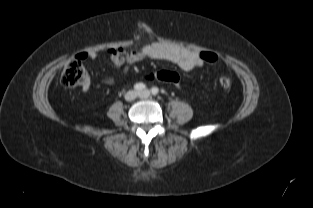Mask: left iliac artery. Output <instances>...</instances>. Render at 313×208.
Segmentation results:
<instances>
[{"label":"left iliac artery","mask_w":313,"mask_h":208,"mask_svg":"<svg viewBox=\"0 0 313 208\" xmlns=\"http://www.w3.org/2000/svg\"><path fill=\"white\" fill-rule=\"evenodd\" d=\"M158 92H159V89H158L157 87H153V88L151 89V93H152L153 95H157Z\"/></svg>","instance_id":"obj_1"}]
</instances>
